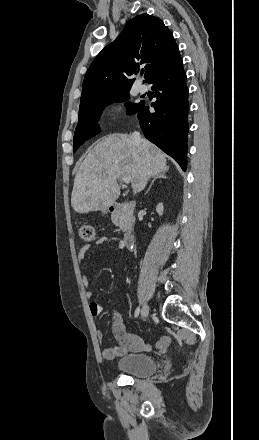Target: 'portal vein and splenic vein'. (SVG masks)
Returning <instances> with one entry per match:
<instances>
[{
    "mask_svg": "<svg viewBox=\"0 0 259 440\" xmlns=\"http://www.w3.org/2000/svg\"><path fill=\"white\" fill-rule=\"evenodd\" d=\"M122 180H123L124 183H130L131 180H132V178H131L130 175H124V176L122 177Z\"/></svg>",
    "mask_w": 259,
    "mask_h": 440,
    "instance_id": "obj_1",
    "label": "portal vein and splenic vein"
}]
</instances>
